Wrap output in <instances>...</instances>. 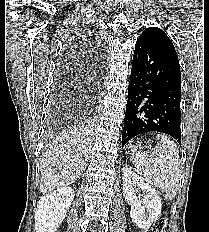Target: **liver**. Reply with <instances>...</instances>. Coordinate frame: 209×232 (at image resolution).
I'll return each mask as SVG.
<instances>
[{
  "label": "liver",
  "mask_w": 209,
  "mask_h": 232,
  "mask_svg": "<svg viewBox=\"0 0 209 232\" xmlns=\"http://www.w3.org/2000/svg\"><path fill=\"white\" fill-rule=\"evenodd\" d=\"M90 145L89 129L84 126L56 137L41 159L40 192L50 193L73 183L86 168Z\"/></svg>",
  "instance_id": "6515ba94"
}]
</instances>
